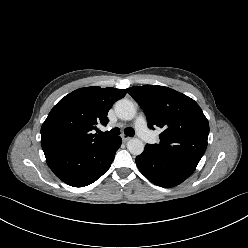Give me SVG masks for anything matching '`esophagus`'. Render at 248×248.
Wrapping results in <instances>:
<instances>
[{
    "instance_id": "34e87169",
    "label": "esophagus",
    "mask_w": 248,
    "mask_h": 248,
    "mask_svg": "<svg viewBox=\"0 0 248 248\" xmlns=\"http://www.w3.org/2000/svg\"><path fill=\"white\" fill-rule=\"evenodd\" d=\"M121 138H122V140H123L124 142H127V141L131 140L132 137H130V136H128V135H125V134H122V135H121Z\"/></svg>"
}]
</instances>
